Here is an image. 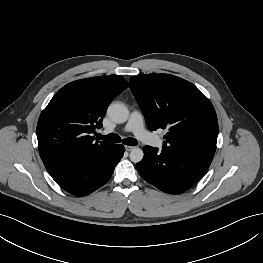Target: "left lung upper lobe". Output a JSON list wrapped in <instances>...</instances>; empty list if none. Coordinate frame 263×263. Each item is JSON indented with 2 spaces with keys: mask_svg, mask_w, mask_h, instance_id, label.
Returning <instances> with one entry per match:
<instances>
[{
  "mask_svg": "<svg viewBox=\"0 0 263 263\" xmlns=\"http://www.w3.org/2000/svg\"><path fill=\"white\" fill-rule=\"evenodd\" d=\"M130 88L149 128L169 130L164 146L212 161L217 116L195 85L170 74H148L131 77Z\"/></svg>",
  "mask_w": 263,
  "mask_h": 263,
  "instance_id": "1",
  "label": "left lung upper lobe"
}]
</instances>
